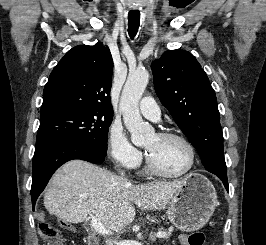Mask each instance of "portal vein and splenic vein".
Here are the masks:
<instances>
[{"label":"portal vein and splenic vein","instance_id":"obj_1","mask_svg":"<svg viewBox=\"0 0 266 245\" xmlns=\"http://www.w3.org/2000/svg\"><path fill=\"white\" fill-rule=\"evenodd\" d=\"M91 219V223L96 233H100V235H112L110 229H106V227L98 221L97 217H91ZM156 237H158V239H163V237H165V233H157Z\"/></svg>","mask_w":266,"mask_h":245}]
</instances>
